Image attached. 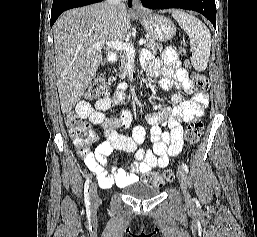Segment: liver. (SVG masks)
<instances>
[{
  "mask_svg": "<svg viewBox=\"0 0 257 237\" xmlns=\"http://www.w3.org/2000/svg\"><path fill=\"white\" fill-rule=\"evenodd\" d=\"M128 12L118 20L107 3H97L64 12L53 27L57 87L63 114L81 99L102 62L98 41L122 42L129 35Z\"/></svg>",
  "mask_w": 257,
  "mask_h": 237,
  "instance_id": "liver-1",
  "label": "liver"
}]
</instances>
